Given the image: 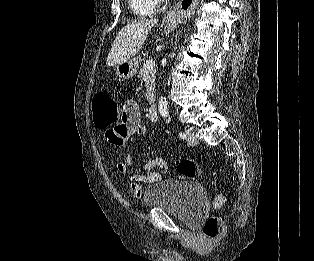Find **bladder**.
<instances>
[{"label": "bladder", "mask_w": 314, "mask_h": 261, "mask_svg": "<svg viewBox=\"0 0 314 261\" xmlns=\"http://www.w3.org/2000/svg\"><path fill=\"white\" fill-rule=\"evenodd\" d=\"M207 202L205 187L197 182L159 181L145 195V205L162 209L182 222L192 225L203 216Z\"/></svg>", "instance_id": "31cf9c89"}]
</instances>
